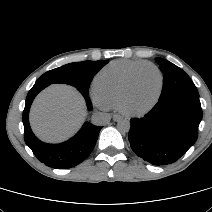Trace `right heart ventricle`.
<instances>
[{"label": "right heart ventricle", "instance_id": "obj_1", "mask_svg": "<svg viewBox=\"0 0 212 212\" xmlns=\"http://www.w3.org/2000/svg\"><path fill=\"white\" fill-rule=\"evenodd\" d=\"M146 61L116 60L103 67L94 78V88L103 101L117 106L121 90L129 74Z\"/></svg>", "mask_w": 212, "mask_h": 212}]
</instances>
